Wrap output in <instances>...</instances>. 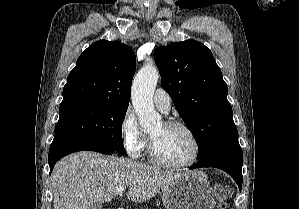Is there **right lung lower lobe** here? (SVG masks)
Returning a JSON list of instances; mask_svg holds the SVG:
<instances>
[{
    "label": "right lung lower lobe",
    "mask_w": 299,
    "mask_h": 209,
    "mask_svg": "<svg viewBox=\"0 0 299 209\" xmlns=\"http://www.w3.org/2000/svg\"><path fill=\"white\" fill-rule=\"evenodd\" d=\"M81 150L96 151L103 154H113L117 152L114 148L102 142L87 141L68 136H55L48 155L50 173L60 158Z\"/></svg>",
    "instance_id": "right-lung-lower-lobe-1"
}]
</instances>
